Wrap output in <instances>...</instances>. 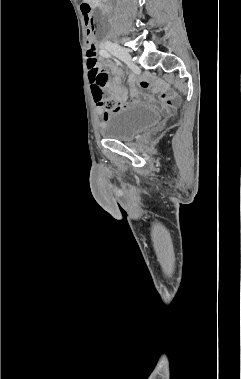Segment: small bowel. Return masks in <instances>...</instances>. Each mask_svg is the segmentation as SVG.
Masks as SVG:
<instances>
[{
  "mask_svg": "<svg viewBox=\"0 0 241 379\" xmlns=\"http://www.w3.org/2000/svg\"><path fill=\"white\" fill-rule=\"evenodd\" d=\"M103 70V69H102ZM104 71V70H103ZM106 73V71H104ZM114 78L113 84L109 83L108 75L104 87L108 88L110 96L114 98L118 103L121 109L127 107L126 98L127 91L124 87L121 86V80L116 70L113 71ZM92 83V82H91ZM139 87L143 89H151L158 97L160 98L162 105L167 109H174L178 103V100L168 92V89L159 81L140 79L138 80ZM92 93L93 89L91 88ZM138 91L136 88H133V95H137ZM95 99V98H94ZM96 101V100H95ZM97 102V101H96ZM99 113L103 120H106L108 117L107 112H103L101 107H98Z\"/></svg>",
  "mask_w": 241,
  "mask_h": 379,
  "instance_id": "1",
  "label": "small bowel"
}]
</instances>
